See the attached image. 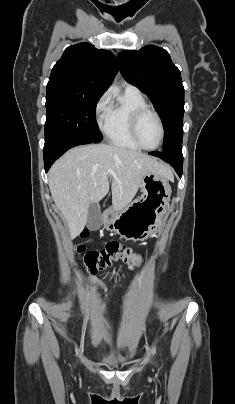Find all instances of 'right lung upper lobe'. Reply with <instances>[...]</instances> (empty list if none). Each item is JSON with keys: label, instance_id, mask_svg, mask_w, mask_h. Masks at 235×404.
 <instances>
[{"label": "right lung upper lobe", "instance_id": "1", "mask_svg": "<svg viewBox=\"0 0 235 404\" xmlns=\"http://www.w3.org/2000/svg\"><path fill=\"white\" fill-rule=\"evenodd\" d=\"M117 70L116 58L110 51L79 43L65 49L52 69L47 88L101 97Z\"/></svg>", "mask_w": 235, "mask_h": 404}]
</instances>
